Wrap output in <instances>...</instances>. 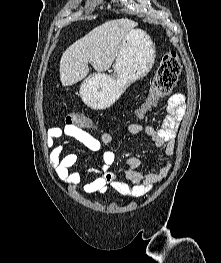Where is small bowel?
<instances>
[{
    "mask_svg": "<svg viewBox=\"0 0 221 263\" xmlns=\"http://www.w3.org/2000/svg\"><path fill=\"white\" fill-rule=\"evenodd\" d=\"M184 95L173 94L167 103V115L158 128L150 125L131 123L121 129L127 134H146L151 142L158 148L165 147V154L173 157L175 154L176 134L185 113ZM56 139L62 142L55 145ZM72 141L83 144L91 151L102 150L104 144L112 141V134L104 132L99 139L88 132L75 127H55L50 129L47 145L53 151V164L56 167L58 177L62 182L71 186L75 191L85 194H102L112 188L121 196L141 198L146 195L156 184L160 183L170 172L172 163L169 162L159 170L148 173L138 171L140 166L139 158L132 156L127 160V167L124 170L122 180L119 175L110 169L115 162V155L111 151L102 154V165L99 168H87L79 172H70L78 161L77 153L64 154V148ZM89 180L84 184L83 181Z\"/></svg>",
    "mask_w": 221,
    "mask_h": 263,
    "instance_id": "c3829d8e",
    "label": "small bowel"
}]
</instances>
